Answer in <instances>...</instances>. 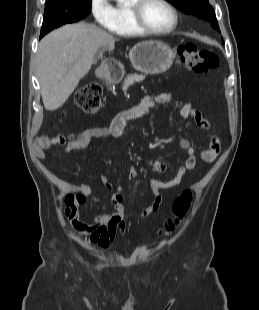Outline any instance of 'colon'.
Wrapping results in <instances>:
<instances>
[{
    "label": "colon",
    "mask_w": 259,
    "mask_h": 310,
    "mask_svg": "<svg viewBox=\"0 0 259 310\" xmlns=\"http://www.w3.org/2000/svg\"><path fill=\"white\" fill-rule=\"evenodd\" d=\"M178 55L180 65L194 72L205 73L214 70L218 66V59L215 54L193 43L181 44L178 47ZM101 100V88L95 83L86 84L80 87L75 93V104L77 108L87 115L98 113ZM77 140L73 139L72 143L77 142ZM192 199V192L185 190L174 200L172 205L174 217L165 223L164 230L173 231L175 229L177 223L188 213ZM83 202L84 197L82 195H69L66 197L65 215L67 219L72 220L74 218L76 209Z\"/></svg>",
    "instance_id": "1"
}]
</instances>
